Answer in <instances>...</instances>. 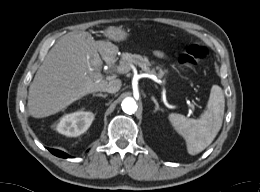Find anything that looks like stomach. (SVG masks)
<instances>
[{
  "mask_svg": "<svg viewBox=\"0 0 260 192\" xmlns=\"http://www.w3.org/2000/svg\"><path fill=\"white\" fill-rule=\"evenodd\" d=\"M111 34H112L111 39L114 41H123L127 38V33L121 28H114ZM163 76H164V72L160 71L158 73V77L162 78Z\"/></svg>",
  "mask_w": 260,
  "mask_h": 192,
  "instance_id": "0dacf381",
  "label": "stomach"
}]
</instances>
